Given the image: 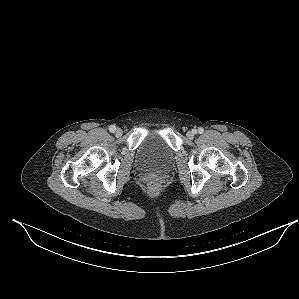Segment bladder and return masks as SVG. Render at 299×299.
I'll return each mask as SVG.
<instances>
[{"instance_id": "obj_1", "label": "bladder", "mask_w": 299, "mask_h": 299, "mask_svg": "<svg viewBox=\"0 0 299 299\" xmlns=\"http://www.w3.org/2000/svg\"><path fill=\"white\" fill-rule=\"evenodd\" d=\"M173 158V150L165 139L154 131L143 138L136 152L138 164L143 169L152 171L168 169L173 163Z\"/></svg>"}]
</instances>
